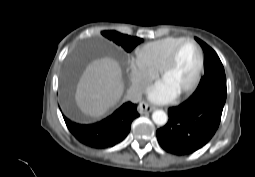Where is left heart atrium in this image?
<instances>
[{
	"label": "left heart atrium",
	"instance_id": "left-heart-atrium-1",
	"mask_svg": "<svg viewBox=\"0 0 255 177\" xmlns=\"http://www.w3.org/2000/svg\"><path fill=\"white\" fill-rule=\"evenodd\" d=\"M177 92L164 80L153 85L149 91V99L156 103H166L176 96Z\"/></svg>",
	"mask_w": 255,
	"mask_h": 177
}]
</instances>
